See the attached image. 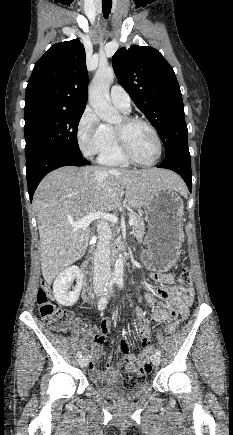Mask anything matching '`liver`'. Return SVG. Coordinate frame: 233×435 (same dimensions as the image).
Instances as JSON below:
<instances>
[{
	"mask_svg": "<svg viewBox=\"0 0 233 435\" xmlns=\"http://www.w3.org/2000/svg\"><path fill=\"white\" fill-rule=\"evenodd\" d=\"M168 187L185 192L175 173L157 169L126 170L96 166H64L43 178L33 198V210L40 236L41 269L47 283L65 268L81 259L88 247L89 231L75 229L93 212L118 208L125 189L127 204L141 208L154 192Z\"/></svg>",
	"mask_w": 233,
	"mask_h": 435,
	"instance_id": "6515ba94",
	"label": "liver"
}]
</instances>
